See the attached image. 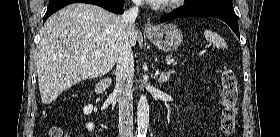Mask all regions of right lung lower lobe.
Wrapping results in <instances>:
<instances>
[{"mask_svg": "<svg viewBox=\"0 0 280 137\" xmlns=\"http://www.w3.org/2000/svg\"><path fill=\"white\" fill-rule=\"evenodd\" d=\"M76 2L89 3L98 5L112 13L123 14L124 0H50L47 11L43 18V23L49 16L61 9L62 7Z\"/></svg>", "mask_w": 280, "mask_h": 137, "instance_id": "right-lung-lower-lobe-1", "label": "right lung lower lobe"}]
</instances>
